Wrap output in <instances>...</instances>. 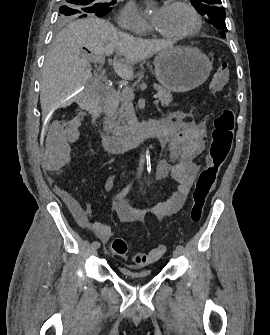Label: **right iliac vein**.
I'll return each mask as SVG.
<instances>
[{
  "mask_svg": "<svg viewBox=\"0 0 270 335\" xmlns=\"http://www.w3.org/2000/svg\"><path fill=\"white\" fill-rule=\"evenodd\" d=\"M97 249H98V248L91 246V253H92L93 255H96V254H97Z\"/></svg>",
  "mask_w": 270,
  "mask_h": 335,
  "instance_id": "63e3f726",
  "label": "right iliac vein"
}]
</instances>
